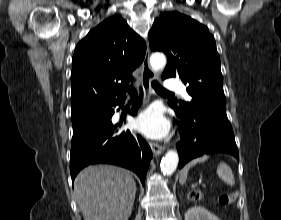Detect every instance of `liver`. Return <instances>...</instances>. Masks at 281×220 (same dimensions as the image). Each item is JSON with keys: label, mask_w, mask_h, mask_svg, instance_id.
<instances>
[{"label": "liver", "mask_w": 281, "mask_h": 220, "mask_svg": "<svg viewBox=\"0 0 281 220\" xmlns=\"http://www.w3.org/2000/svg\"><path fill=\"white\" fill-rule=\"evenodd\" d=\"M74 191L84 220H128L136 183L125 169L91 165L77 175Z\"/></svg>", "instance_id": "1"}]
</instances>
